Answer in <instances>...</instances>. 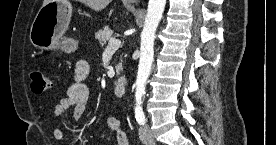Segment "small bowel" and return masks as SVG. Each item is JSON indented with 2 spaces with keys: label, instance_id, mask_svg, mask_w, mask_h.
Here are the masks:
<instances>
[{
  "label": "small bowel",
  "instance_id": "1",
  "mask_svg": "<svg viewBox=\"0 0 276 145\" xmlns=\"http://www.w3.org/2000/svg\"><path fill=\"white\" fill-rule=\"evenodd\" d=\"M90 72L87 61L80 60L75 67V82L67 89L66 96L62 98L54 108V115L61 117L68 109H72L70 120L77 122L84 114L90 97V91L85 84V79ZM108 129L115 132L117 145H129V140L125 132L120 127L119 120L110 116L106 120ZM53 136L56 140H63L65 137L64 128L54 129Z\"/></svg>",
  "mask_w": 276,
  "mask_h": 145
}]
</instances>
